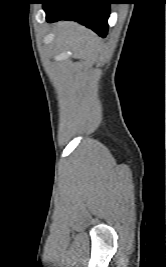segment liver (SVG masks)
Returning a JSON list of instances; mask_svg holds the SVG:
<instances>
[{"mask_svg": "<svg viewBox=\"0 0 166 267\" xmlns=\"http://www.w3.org/2000/svg\"><path fill=\"white\" fill-rule=\"evenodd\" d=\"M56 40L70 48L75 58H80L94 50L100 41L89 29L76 22H59L54 27Z\"/></svg>", "mask_w": 166, "mask_h": 267, "instance_id": "6515ba94", "label": "liver"}]
</instances>
